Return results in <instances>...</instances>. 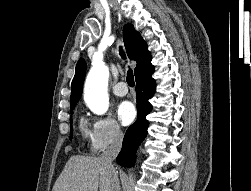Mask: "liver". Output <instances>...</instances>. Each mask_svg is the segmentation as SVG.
<instances>
[{
	"label": "liver",
	"mask_w": 251,
	"mask_h": 191,
	"mask_svg": "<svg viewBox=\"0 0 251 191\" xmlns=\"http://www.w3.org/2000/svg\"><path fill=\"white\" fill-rule=\"evenodd\" d=\"M113 169L101 157L71 155L57 177L53 191H118Z\"/></svg>",
	"instance_id": "6515ba94"
}]
</instances>
